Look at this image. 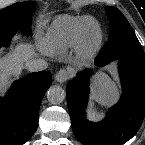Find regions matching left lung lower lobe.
Segmentation results:
<instances>
[{
  "label": "left lung lower lobe",
  "mask_w": 145,
  "mask_h": 145,
  "mask_svg": "<svg viewBox=\"0 0 145 145\" xmlns=\"http://www.w3.org/2000/svg\"><path fill=\"white\" fill-rule=\"evenodd\" d=\"M104 54L97 56V66L113 61ZM119 74L123 93L119 102L109 109L104 121L87 120L85 105L89 92V70L78 73L67 84V102L73 132L84 145H121L139 130L145 116V61L120 58Z\"/></svg>",
  "instance_id": "obj_1"
}]
</instances>
